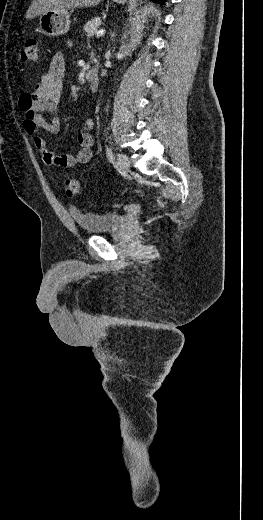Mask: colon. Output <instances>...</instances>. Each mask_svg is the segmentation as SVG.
Masks as SVG:
<instances>
[{
    "mask_svg": "<svg viewBox=\"0 0 263 520\" xmlns=\"http://www.w3.org/2000/svg\"><path fill=\"white\" fill-rule=\"evenodd\" d=\"M22 59L30 62H36L38 60V41L36 39H28L25 42ZM64 188L69 197L78 196L81 191L78 179L73 176H69L65 179Z\"/></svg>",
    "mask_w": 263,
    "mask_h": 520,
    "instance_id": "5ec220e1",
    "label": "colon"
}]
</instances>
